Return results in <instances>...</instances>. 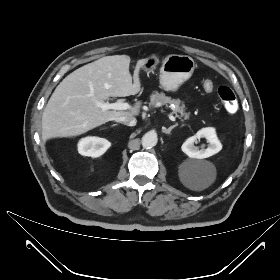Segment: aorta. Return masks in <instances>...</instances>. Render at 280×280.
<instances>
[{
    "mask_svg": "<svg viewBox=\"0 0 280 280\" xmlns=\"http://www.w3.org/2000/svg\"><path fill=\"white\" fill-rule=\"evenodd\" d=\"M157 141L158 138L156 133L147 132L146 134L143 135L141 143L143 148L150 149L157 144Z\"/></svg>",
    "mask_w": 280,
    "mask_h": 280,
    "instance_id": "762f6f07",
    "label": "aorta"
}]
</instances>
